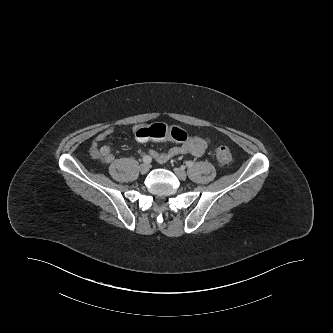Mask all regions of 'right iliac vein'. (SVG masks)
Listing matches in <instances>:
<instances>
[{
  "instance_id": "63e3f726",
  "label": "right iliac vein",
  "mask_w": 333,
  "mask_h": 333,
  "mask_svg": "<svg viewBox=\"0 0 333 333\" xmlns=\"http://www.w3.org/2000/svg\"><path fill=\"white\" fill-rule=\"evenodd\" d=\"M149 164L147 163H144V164H141L140 167H139V171L142 173V174H146L148 171H149Z\"/></svg>"
}]
</instances>
